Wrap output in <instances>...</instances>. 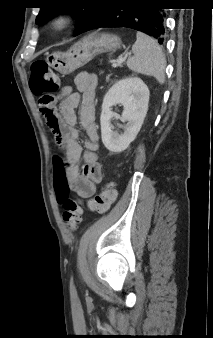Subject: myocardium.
Masks as SVG:
<instances>
[{"instance_id":"myocardium-1","label":"myocardium","mask_w":213,"mask_h":338,"mask_svg":"<svg viewBox=\"0 0 213 338\" xmlns=\"http://www.w3.org/2000/svg\"><path fill=\"white\" fill-rule=\"evenodd\" d=\"M69 24V17L64 14H59L51 19L52 29L55 32H61L67 28Z\"/></svg>"}]
</instances>
